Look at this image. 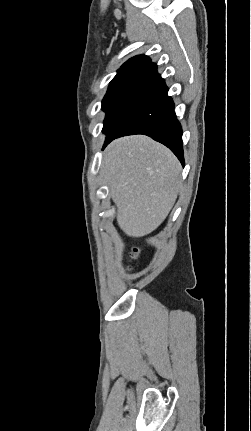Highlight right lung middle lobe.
<instances>
[{
    "label": "right lung middle lobe",
    "mask_w": 251,
    "mask_h": 431,
    "mask_svg": "<svg viewBox=\"0 0 251 431\" xmlns=\"http://www.w3.org/2000/svg\"><path fill=\"white\" fill-rule=\"evenodd\" d=\"M146 70L147 68L143 67L120 69L110 82L108 91L102 101V109L106 112L103 132L107 130L119 109L131 92L136 88Z\"/></svg>",
    "instance_id": "dd1d6c3e"
}]
</instances>
